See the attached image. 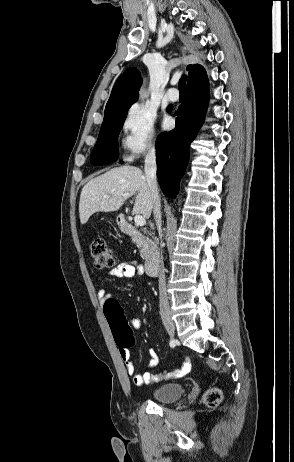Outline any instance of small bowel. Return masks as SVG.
Masks as SVG:
<instances>
[{"label": "small bowel", "mask_w": 294, "mask_h": 462, "mask_svg": "<svg viewBox=\"0 0 294 462\" xmlns=\"http://www.w3.org/2000/svg\"><path fill=\"white\" fill-rule=\"evenodd\" d=\"M142 272V267L137 265L135 262L127 261L120 263L118 266L110 270L109 275L117 278H132ZM109 292L105 289H100L98 291V298L104 304L105 300L108 298ZM133 328L138 329L142 326V319L135 317L130 321ZM150 355V361L148 363V368L152 369L158 365V356L156 352L152 349H148ZM120 357L126 367L127 373L132 376L134 385L140 387L144 384H149L153 382L163 381L169 378H181L186 375L191 368L190 362L188 360L184 361L183 364L174 370L173 372H167L165 370L159 371L157 373H152L147 371L143 374H137L135 372V366L131 359V353L128 348L119 346Z\"/></svg>", "instance_id": "1"}]
</instances>
